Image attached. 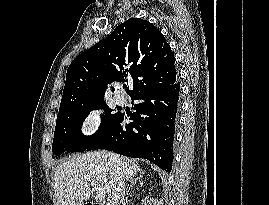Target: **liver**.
<instances>
[{"label": "liver", "mask_w": 269, "mask_h": 205, "mask_svg": "<svg viewBox=\"0 0 269 205\" xmlns=\"http://www.w3.org/2000/svg\"><path fill=\"white\" fill-rule=\"evenodd\" d=\"M119 168L125 180L133 179L140 171L134 159L106 151L74 155L58 164L54 173L57 205H83L90 198L91 181L97 182L109 195Z\"/></svg>", "instance_id": "6515ba94"}]
</instances>
